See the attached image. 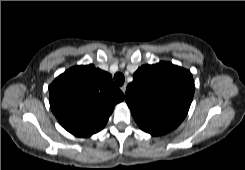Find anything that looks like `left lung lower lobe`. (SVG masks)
Segmentation results:
<instances>
[{"label": "left lung lower lobe", "instance_id": "obj_1", "mask_svg": "<svg viewBox=\"0 0 245 170\" xmlns=\"http://www.w3.org/2000/svg\"><path fill=\"white\" fill-rule=\"evenodd\" d=\"M148 133H150L152 135H160V134H157V133H154V132H148Z\"/></svg>", "mask_w": 245, "mask_h": 170}]
</instances>
